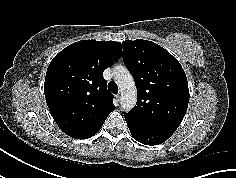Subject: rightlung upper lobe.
I'll use <instances>...</instances> for the list:
<instances>
[{
	"label": "right lung upper lobe",
	"instance_id": "obj_1",
	"mask_svg": "<svg viewBox=\"0 0 236 178\" xmlns=\"http://www.w3.org/2000/svg\"><path fill=\"white\" fill-rule=\"evenodd\" d=\"M122 55L120 42L82 40L49 64L44 92L49 111L67 135L87 139L115 109L103 71Z\"/></svg>",
	"mask_w": 236,
	"mask_h": 178
}]
</instances>
